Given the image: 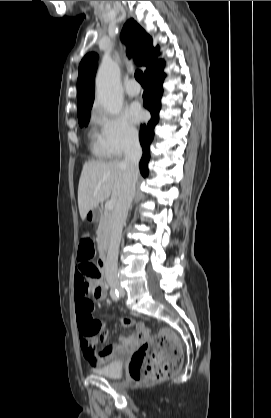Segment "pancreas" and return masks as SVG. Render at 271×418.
<instances>
[{"mask_svg":"<svg viewBox=\"0 0 271 418\" xmlns=\"http://www.w3.org/2000/svg\"><path fill=\"white\" fill-rule=\"evenodd\" d=\"M96 234L99 248L104 249L108 245L111 237V215L106 210L101 213Z\"/></svg>","mask_w":271,"mask_h":418,"instance_id":"cf45deb5","label":"pancreas"}]
</instances>
